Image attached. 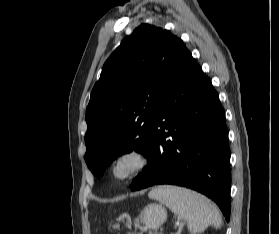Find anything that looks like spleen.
Returning a JSON list of instances; mask_svg holds the SVG:
<instances>
[{"mask_svg":"<svg viewBox=\"0 0 279 234\" xmlns=\"http://www.w3.org/2000/svg\"><path fill=\"white\" fill-rule=\"evenodd\" d=\"M149 197L165 204L172 212L187 222L191 234L205 231L209 226H222V217L205 196L182 187L163 185L154 188Z\"/></svg>","mask_w":279,"mask_h":234,"instance_id":"obj_1","label":"spleen"}]
</instances>
